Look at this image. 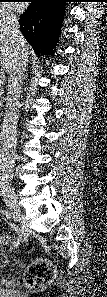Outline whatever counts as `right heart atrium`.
<instances>
[{
    "mask_svg": "<svg viewBox=\"0 0 107 297\" xmlns=\"http://www.w3.org/2000/svg\"><path fill=\"white\" fill-rule=\"evenodd\" d=\"M13 18L11 11L8 8L1 7L0 8V22L1 21H8Z\"/></svg>",
    "mask_w": 107,
    "mask_h": 297,
    "instance_id": "right-heart-atrium-1",
    "label": "right heart atrium"
}]
</instances>
